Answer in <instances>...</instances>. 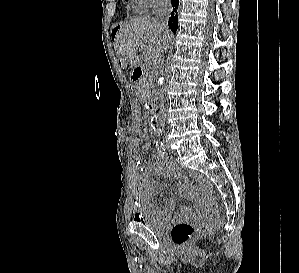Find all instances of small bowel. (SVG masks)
<instances>
[{
  "label": "small bowel",
  "mask_w": 299,
  "mask_h": 273,
  "mask_svg": "<svg viewBox=\"0 0 299 273\" xmlns=\"http://www.w3.org/2000/svg\"><path fill=\"white\" fill-rule=\"evenodd\" d=\"M142 151L146 150L142 148ZM150 169L159 175L179 180L178 188L183 196L186 198L195 197L189 187L187 179L170 159L162 155H157L150 164ZM135 190L136 195L133 201L135 220H139L145 214L154 215L160 219H169L172 216L175 209L173 199L166 198L163 207H158L153 204L152 197L155 193V187L151 182L149 173L143 172L137 176L135 180ZM194 215L195 213L190 207L183 206L176 215V218L185 219L193 217Z\"/></svg>",
  "instance_id": "1"
}]
</instances>
